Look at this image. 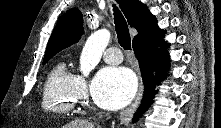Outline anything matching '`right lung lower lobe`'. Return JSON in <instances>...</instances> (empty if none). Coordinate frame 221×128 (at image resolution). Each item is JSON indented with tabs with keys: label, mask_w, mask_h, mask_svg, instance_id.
I'll list each match as a JSON object with an SVG mask.
<instances>
[{
	"label": "right lung lower lobe",
	"mask_w": 221,
	"mask_h": 128,
	"mask_svg": "<svg viewBox=\"0 0 221 128\" xmlns=\"http://www.w3.org/2000/svg\"><path fill=\"white\" fill-rule=\"evenodd\" d=\"M168 46L169 44L162 39L152 43L133 44L145 84L144 99L133 121L148 108L156 94V84H160V81L167 76L165 71L169 66V54L166 50Z\"/></svg>",
	"instance_id": "1"
}]
</instances>
